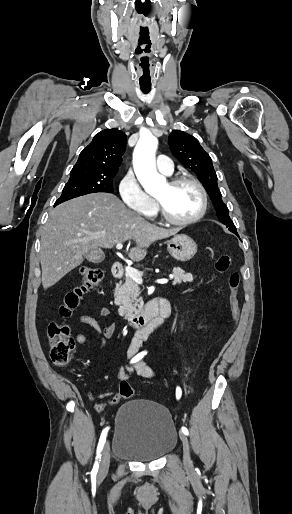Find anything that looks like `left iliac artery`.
Segmentation results:
<instances>
[{
    "instance_id": "obj_1",
    "label": "left iliac artery",
    "mask_w": 292,
    "mask_h": 514,
    "mask_svg": "<svg viewBox=\"0 0 292 514\" xmlns=\"http://www.w3.org/2000/svg\"><path fill=\"white\" fill-rule=\"evenodd\" d=\"M181 393H182V391H181L180 387H177V389H176V396H177V398L181 397ZM181 431L185 435H189L188 429L186 427L182 426Z\"/></svg>"
}]
</instances>
